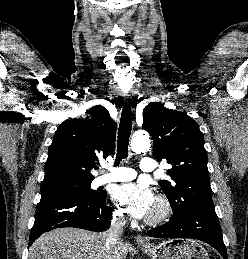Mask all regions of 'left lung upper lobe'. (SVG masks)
<instances>
[{
    "instance_id": "1",
    "label": "left lung upper lobe",
    "mask_w": 248,
    "mask_h": 259,
    "mask_svg": "<svg viewBox=\"0 0 248 259\" xmlns=\"http://www.w3.org/2000/svg\"><path fill=\"white\" fill-rule=\"evenodd\" d=\"M142 128L154 139L153 156L166 160L171 180H161L173 210L183 214L213 209L204 138L197 123L187 114L150 103L143 111Z\"/></svg>"
}]
</instances>
